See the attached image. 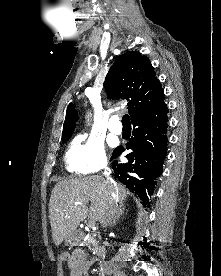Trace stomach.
<instances>
[{"label":"stomach","mask_w":221,"mask_h":276,"mask_svg":"<svg viewBox=\"0 0 221 276\" xmlns=\"http://www.w3.org/2000/svg\"><path fill=\"white\" fill-rule=\"evenodd\" d=\"M80 242V236L77 232H74L69 237L65 239V245L67 246H77Z\"/></svg>","instance_id":"obj_1"}]
</instances>
